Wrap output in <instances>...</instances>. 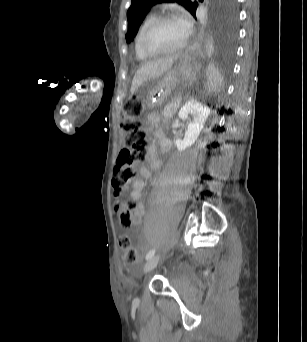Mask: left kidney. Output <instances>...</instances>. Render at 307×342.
I'll return each instance as SVG.
<instances>
[{"label":"left kidney","instance_id":"left-kidney-1","mask_svg":"<svg viewBox=\"0 0 307 342\" xmlns=\"http://www.w3.org/2000/svg\"><path fill=\"white\" fill-rule=\"evenodd\" d=\"M189 114L192 116V120L189 118ZM210 114L209 108L203 106L197 100H188L184 106H182L178 116L180 120H189L188 128L185 132L184 140H176V148L178 152H184L186 148H190L195 144L200 132L204 128V124Z\"/></svg>","mask_w":307,"mask_h":342}]
</instances>
